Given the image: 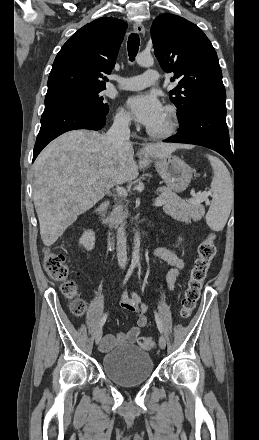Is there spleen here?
Segmentation results:
<instances>
[{"label": "spleen", "mask_w": 259, "mask_h": 440, "mask_svg": "<svg viewBox=\"0 0 259 440\" xmlns=\"http://www.w3.org/2000/svg\"><path fill=\"white\" fill-rule=\"evenodd\" d=\"M214 171L211 182L213 193L206 222L213 231L223 230L233 206V184L230 173L224 163L212 155H207Z\"/></svg>", "instance_id": "spleen-1"}]
</instances>
